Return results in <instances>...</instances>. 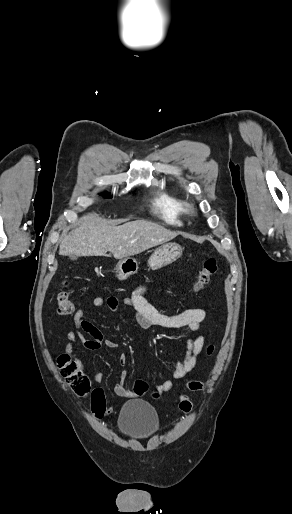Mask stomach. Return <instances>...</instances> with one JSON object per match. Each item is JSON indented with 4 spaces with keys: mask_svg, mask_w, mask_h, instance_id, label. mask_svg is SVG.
Returning <instances> with one entry per match:
<instances>
[{
    "mask_svg": "<svg viewBox=\"0 0 292 514\" xmlns=\"http://www.w3.org/2000/svg\"><path fill=\"white\" fill-rule=\"evenodd\" d=\"M182 256V250L178 244H164L157 250H154L152 256L148 260V266L151 270H159L163 266L172 264ZM116 278L118 280H127L132 274H136L138 264L134 258H121L115 268Z\"/></svg>",
    "mask_w": 292,
    "mask_h": 514,
    "instance_id": "1",
    "label": "stomach"
}]
</instances>
